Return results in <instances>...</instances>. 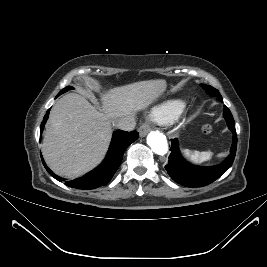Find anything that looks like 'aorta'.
Returning <instances> with one entry per match:
<instances>
[{
	"instance_id": "762f6f07",
	"label": "aorta",
	"mask_w": 267,
	"mask_h": 267,
	"mask_svg": "<svg viewBox=\"0 0 267 267\" xmlns=\"http://www.w3.org/2000/svg\"><path fill=\"white\" fill-rule=\"evenodd\" d=\"M147 144L158 155H165L168 151L166 136L160 132H150L147 136Z\"/></svg>"
}]
</instances>
